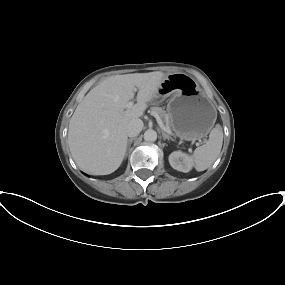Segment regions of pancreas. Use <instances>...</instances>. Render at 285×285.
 <instances>
[{
	"label": "pancreas",
	"mask_w": 285,
	"mask_h": 285,
	"mask_svg": "<svg viewBox=\"0 0 285 285\" xmlns=\"http://www.w3.org/2000/svg\"><path fill=\"white\" fill-rule=\"evenodd\" d=\"M151 111L156 112L163 119L165 126L170 128L171 124H170L169 115L166 113L165 110H163L161 107H151Z\"/></svg>",
	"instance_id": "1"
}]
</instances>
